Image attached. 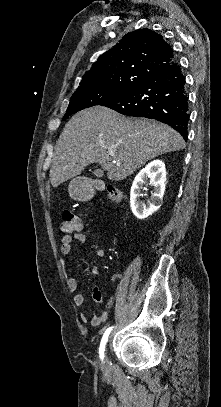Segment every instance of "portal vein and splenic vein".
Returning a JSON list of instances; mask_svg holds the SVG:
<instances>
[{"mask_svg":"<svg viewBox=\"0 0 221 407\" xmlns=\"http://www.w3.org/2000/svg\"><path fill=\"white\" fill-rule=\"evenodd\" d=\"M111 156H114V154H113V153H111Z\"/></svg>","mask_w":221,"mask_h":407,"instance_id":"18ae733b","label":"portal vein and splenic vein"}]
</instances>
